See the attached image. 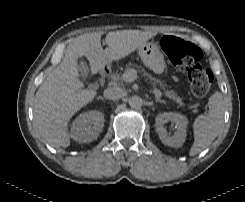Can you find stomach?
Wrapping results in <instances>:
<instances>
[{
  "label": "stomach",
  "instance_id": "1",
  "mask_svg": "<svg viewBox=\"0 0 245 202\" xmlns=\"http://www.w3.org/2000/svg\"><path fill=\"white\" fill-rule=\"evenodd\" d=\"M143 64L156 74H163L166 68L164 56L154 42H146L138 48Z\"/></svg>",
  "mask_w": 245,
  "mask_h": 202
}]
</instances>
